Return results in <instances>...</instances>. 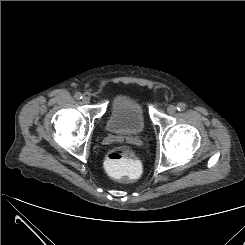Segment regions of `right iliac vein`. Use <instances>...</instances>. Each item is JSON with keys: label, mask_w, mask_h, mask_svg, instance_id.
I'll return each instance as SVG.
<instances>
[{"label": "right iliac vein", "mask_w": 245, "mask_h": 245, "mask_svg": "<svg viewBox=\"0 0 245 245\" xmlns=\"http://www.w3.org/2000/svg\"><path fill=\"white\" fill-rule=\"evenodd\" d=\"M84 104H89L90 103V98L89 97H83L82 99Z\"/></svg>", "instance_id": "obj_1"}]
</instances>
